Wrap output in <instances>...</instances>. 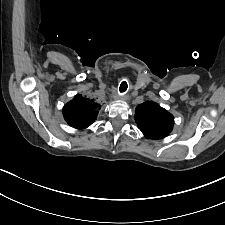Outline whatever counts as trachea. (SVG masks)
Returning <instances> with one entry per match:
<instances>
[{
	"label": "trachea",
	"instance_id": "1",
	"mask_svg": "<svg viewBox=\"0 0 225 225\" xmlns=\"http://www.w3.org/2000/svg\"><path fill=\"white\" fill-rule=\"evenodd\" d=\"M127 87H128V84L126 81H123L121 84H120V88H119V91L121 93L125 92L127 90Z\"/></svg>",
	"mask_w": 225,
	"mask_h": 225
}]
</instances>
